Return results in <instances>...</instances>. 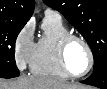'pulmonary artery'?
Masks as SVG:
<instances>
[{
	"instance_id": "pulmonary-artery-1",
	"label": "pulmonary artery",
	"mask_w": 107,
	"mask_h": 89,
	"mask_svg": "<svg viewBox=\"0 0 107 89\" xmlns=\"http://www.w3.org/2000/svg\"><path fill=\"white\" fill-rule=\"evenodd\" d=\"M45 15H55V16L60 17V14H59V13H57L56 11L51 10V9H46Z\"/></svg>"
}]
</instances>
